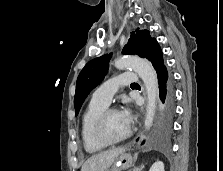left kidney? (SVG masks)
<instances>
[{"label":"left kidney","instance_id":"1","mask_svg":"<svg viewBox=\"0 0 223 171\" xmlns=\"http://www.w3.org/2000/svg\"><path fill=\"white\" fill-rule=\"evenodd\" d=\"M149 171H164V164L161 161L155 162Z\"/></svg>","mask_w":223,"mask_h":171}]
</instances>
